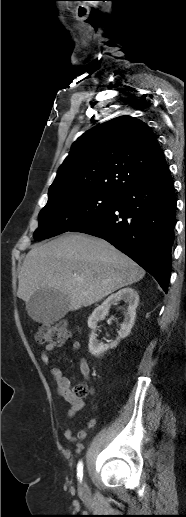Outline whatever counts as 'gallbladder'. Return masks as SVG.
I'll use <instances>...</instances> for the list:
<instances>
[{"instance_id": "bac80fb5", "label": "gallbladder", "mask_w": 186, "mask_h": 517, "mask_svg": "<svg viewBox=\"0 0 186 517\" xmlns=\"http://www.w3.org/2000/svg\"><path fill=\"white\" fill-rule=\"evenodd\" d=\"M68 305L67 296L63 293L54 289H41L31 296L26 309L33 320L53 323L66 315Z\"/></svg>"}]
</instances>
